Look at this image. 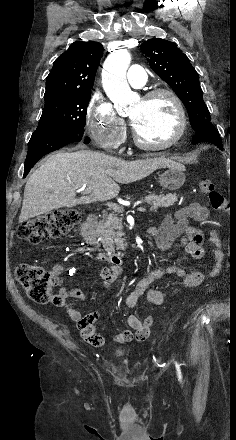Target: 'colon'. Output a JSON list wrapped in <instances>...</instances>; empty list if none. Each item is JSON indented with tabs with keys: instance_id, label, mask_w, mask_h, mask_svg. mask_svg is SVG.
<instances>
[{
	"instance_id": "1",
	"label": "colon",
	"mask_w": 236,
	"mask_h": 440,
	"mask_svg": "<svg viewBox=\"0 0 236 440\" xmlns=\"http://www.w3.org/2000/svg\"><path fill=\"white\" fill-rule=\"evenodd\" d=\"M198 187L200 192L208 198L215 211H226L228 214L233 212L232 205L228 204L227 198L215 187L209 177H199ZM80 219L81 211L78 208L59 209L23 222L18 227L17 234L22 240L31 244H39L46 239L71 232ZM15 276L34 302L56 305L61 303V299L53 293V289L59 284L60 279L52 271L36 264L20 263L16 267ZM153 323L154 320L151 316L146 317L143 321V324H149L151 327Z\"/></svg>"
}]
</instances>
